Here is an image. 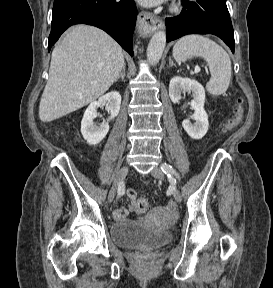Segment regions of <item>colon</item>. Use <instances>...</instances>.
Masks as SVG:
<instances>
[{"label": "colon", "instance_id": "5ec220e1", "mask_svg": "<svg viewBox=\"0 0 273 288\" xmlns=\"http://www.w3.org/2000/svg\"><path fill=\"white\" fill-rule=\"evenodd\" d=\"M244 115V105L242 100H238L234 108L232 116L226 121L222 129L223 133L234 130L242 121ZM148 209V202L145 199H136L134 202V210L138 214H143Z\"/></svg>", "mask_w": 273, "mask_h": 288}]
</instances>
